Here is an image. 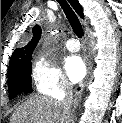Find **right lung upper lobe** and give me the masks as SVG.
Returning <instances> with one entry per match:
<instances>
[{
    "mask_svg": "<svg viewBox=\"0 0 122 123\" xmlns=\"http://www.w3.org/2000/svg\"><path fill=\"white\" fill-rule=\"evenodd\" d=\"M72 7L75 9L77 14L83 17L82 7L79 4L78 0H69ZM33 38L31 41L23 48H17L14 50V53L10 59L8 70L19 66L24 61L31 59V55L40 39L41 36V28L39 26H35L32 30Z\"/></svg>",
    "mask_w": 122,
    "mask_h": 123,
    "instance_id": "1",
    "label": "right lung upper lobe"
}]
</instances>
